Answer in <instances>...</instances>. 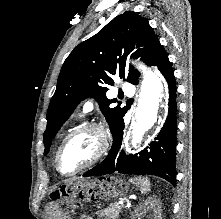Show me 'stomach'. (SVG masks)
<instances>
[{"mask_svg":"<svg viewBox=\"0 0 221 219\" xmlns=\"http://www.w3.org/2000/svg\"><path fill=\"white\" fill-rule=\"evenodd\" d=\"M127 189L128 183L115 177L76 178V182L66 184L64 190H57V195L71 199V204H92L94 199H122Z\"/></svg>","mask_w":221,"mask_h":219,"instance_id":"stomach-1","label":"stomach"}]
</instances>
